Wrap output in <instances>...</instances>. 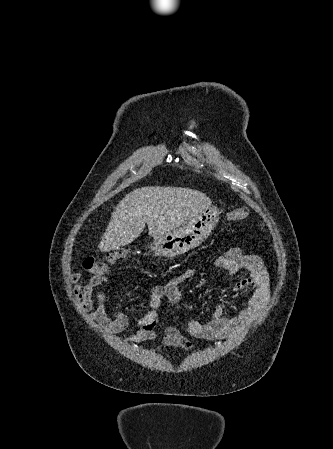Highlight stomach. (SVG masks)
I'll list each match as a JSON object with an SVG mask.
<instances>
[{
    "instance_id": "stomach-1",
    "label": "stomach",
    "mask_w": 333,
    "mask_h": 449,
    "mask_svg": "<svg viewBox=\"0 0 333 449\" xmlns=\"http://www.w3.org/2000/svg\"><path fill=\"white\" fill-rule=\"evenodd\" d=\"M217 207L205 208L182 227L154 238L150 244L154 254L159 256H177L200 245L219 221Z\"/></svg>"
}]
</instances>
